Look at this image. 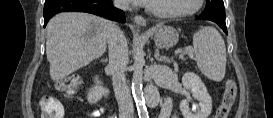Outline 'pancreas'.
<instances>
[{"instance_id": "pancreas-1", "label": "pancreas", "mask_w": 273, "mask_h": 118, "mask_svg": "<svg viewBox=\"0 0 273 118\" xmlns=\"http://www.w3.org/2000/svg\"><path fill=\"white\" fill-rule=\"evenodd\" d=\"M188 49H190L189 51H186L190 56H192L193 55V49L192 48H190V47H188Z\"/></svg>"}]
</instances>
